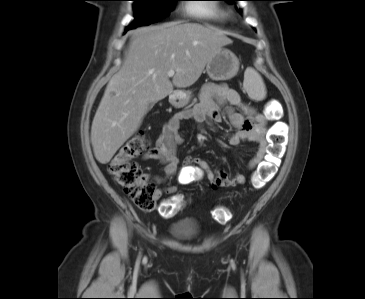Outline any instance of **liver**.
Instances as JSON below:
<instances>
[{
	"mask_svg": "<svg viewBox=\"0 0 365 299\" xmlns=\"http://www.w3.org/2000/svg\"><path fill=\"white\" fill-rule=\"evenodd\" d=\"M224 31L197 23H167L136 29L121 69L110 79L94 116L91 143L95 158L107 164L138 130L150 103L186 88L201 76L223 46ZM174 70L172 81L168 71Z\"/></svg>",
	"mask_w": 365,
	"mask_h": 299,
	"instance_id": "6515ba94",
	"label": "liver"
}]
</instances>
